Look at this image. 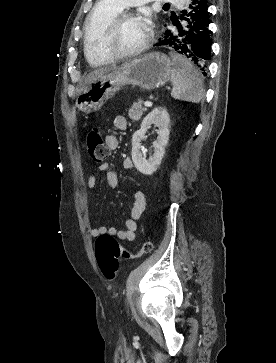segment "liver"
I'll return each mask as SVG.
<instances>
[{
    "label": "liver",
    "instance_id": "1",
    "mask_svg": "<svg viewBox=\"0 0 276 363\" xmlns=\"http://www.w3.org/2000/svg\"><path fill=\"white\" fill-rule=\"evenodd\" d=\"M115 68H116V66L113 65V66L101 67V68L93 70L86 76V78L84 80V86L89 85L90 83H92L93 81L98 79L100 76L111 72Z\"/></svg>",
    "mask_w": 276,
    "mask_h": 363
}]
</instances>
